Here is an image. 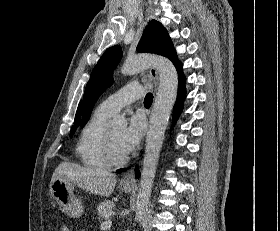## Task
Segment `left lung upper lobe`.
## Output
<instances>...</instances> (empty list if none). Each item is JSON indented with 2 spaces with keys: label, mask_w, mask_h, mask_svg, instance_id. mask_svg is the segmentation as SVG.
I'll return each mask as SVG.
<instances>
[{
  "label": "left lung upper lobe",
  "mask_w": 280,
  "mask_h": 231,
  "mask_svg": "<svg viewBox=\"0 0 280 231\" xmlns=\"http://www.w3.org/2000/svg\"><path fill=\"white\" fill-rule=\"evenodd\" d=\"M138 52H149L168 57L181 72L182 64L177 59L172 41L164 26L152 20L144 30L143 36L137 46ZM122 58V49L115 45L108 48L93 69L83 97V127L90 118L95 102L104 90L113 83L112 71Z\"/></svg>",
  "instance_id": "1"
}]
</instances>
